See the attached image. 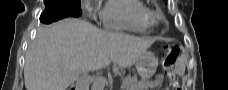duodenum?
Wrapping results in <instances>:
<instances>
[{
	"instance_id": "obj_1",
	"label": "duodenum",
	"mask_w": 228,
	"mask_h": 90,
	"mask_svg": "<svg viewBox=\"0 0 228 90\" xmlns=\"http://www.w3.org/2000/svg\"><path fill=\"white\" fill-rule=\"evenodd\" d=\"M71 90H77V88H75V87H72V88H71Z\"/></svg>"
}]
</instances>
